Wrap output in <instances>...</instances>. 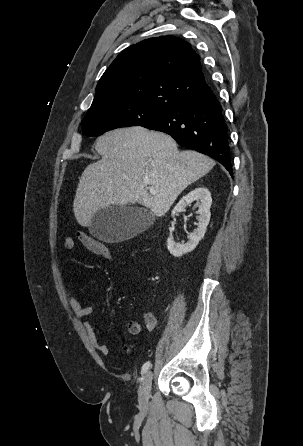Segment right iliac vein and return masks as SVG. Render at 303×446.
Listing matches in <instances>:
<instances>
[{
	"mask_svg": "<svg viewBox=\"0 0 303 446\" xmlns=\"http://www.w3.org/2000/svg\"><path fill=\"white\" fill-rule=\"evenodd\" d=\"M152 379L153 373L151 371L146 372L142 381V385L139 389V403L143 408H146L148 404Z\"/></svg>",
	"mask_w": 303,
	"mask_h": 446,
	"instance_id": "63e3f726",
	"label": "right iliac vein"
}]
</instances>
